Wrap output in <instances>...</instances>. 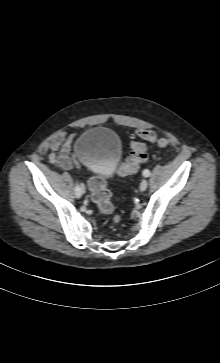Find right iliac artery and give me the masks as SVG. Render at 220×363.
<instances>
[{"mask_svg":"<svg viewBox=\"0 0 220 363\" xmlns=\"http://www.w3.org/2000/svg\"><path fill=\"white\" fill-rule=\"evenodd\" d=\"M82 192H81V185L76 184L75 186V195L77 198H79L81 196Z\"/></svg>","mask_w":220,"mask_h":363,"instance_id":"right-iliac-artery-1","label":"right iliac artery"}]
</instances>
